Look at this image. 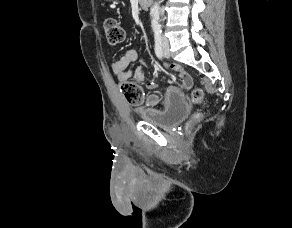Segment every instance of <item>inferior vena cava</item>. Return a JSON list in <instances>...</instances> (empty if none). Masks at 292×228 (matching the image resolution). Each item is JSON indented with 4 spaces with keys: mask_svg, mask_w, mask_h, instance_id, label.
Segmentation results:
<instances>
[{
    "mask_svg": "<svg viewBox=\"0 0 292 228\" xmlns=\"http://www.w3.org/2000/svg\"><path fill=\"white\" fill-rule=\"evenodd\" d=\"M161 1H163V0H161ZM160 13H161V15L163 16V14H164V9H163V8L160 9ZM162 41H163V42H167L166 37L162 36Z\"/></svg>",
    "mask_w": 292,
    "mask_h": 228,
    "instance_id": "602c4592",
    "label": "inferior vena cava"
}]
</instances>
